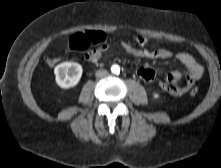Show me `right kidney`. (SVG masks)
Wrapping results in <instances>:
<instances>
[{
	"label": "right kidney",
	"mask_w": 221,
	"mask_h": 168,
	"mask_svg": "<svg viewBox=\"0 0 221 168\" xmlns=\"http://www.w3.org/2000/svg\"><path fill=\"white\" fill-rule=\"evenodd\" d=\"M82 66L76 62H63L54 69L55 80L59 87L68 89L78 84L82 76Z\"/></svg>",
	"instance_id": "ca27d5eb"
}]
</instances>
